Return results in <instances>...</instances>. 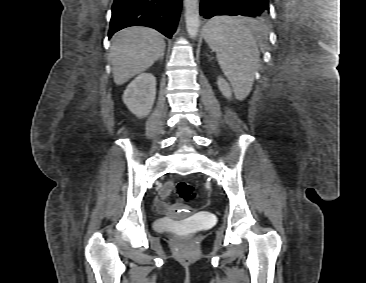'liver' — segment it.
Returning a JSON list of instances; mask_svg holds the SVG:
<instances>
[{
	"label": "liver",
	"instance_id": "liver-1",
	"mask_svg": "<svg viewBox=\"0 0 366 283\" xmlns=\"http://www.w3.org/2000/svg\"><path fill=\"white\" fill-rule=\"evenodd\" d=\"M165 50L163 36L150 27L132 26L113 36L110 59L117 85L147 70Z\"/></svg>",
	"mask_w": 366,
	"mask_h": 283
}]
</instances>
